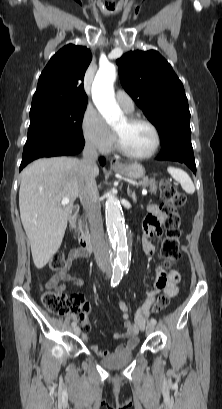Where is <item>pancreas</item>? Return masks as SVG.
<instances>
[{
    "mask_svg": "<svg viewBox=\"0 0 222 409\" xmlns=\"http://www.w3.org/2000/svg\"><path fill=\"white\" fill-rule=\"evenodd\" d=\"M140 184H141V186L142 187H147V186H149L150 187V192L151 193H153V194H156V192H157V184H156V182H155V180L154 179H148V178H144L141 182H140ZM82 227V226H81ZM84 228H85V230H87V226L86 225H84Z\"/></svg>",
    "mask_w": 222,
    "mask_h": 409,
    "instance_id": "cf45deb5",
    "label": "pancreas"
}]
</instances>
